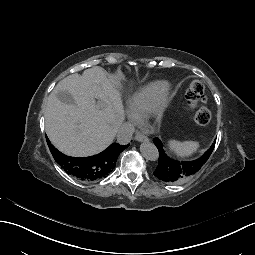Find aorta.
<instances>
[{
    "label": "aorta",
    "mask_w": 255,
    "mask_h": 255,
    "mask_svg": "<svg viewBox=\"0 0 255 255\" xmlns=\"http://www.w3.org/2000/svg\"><path fill=\"white\" fill-rule=\"evenodd\" d=\"M142 156L150 161H156L159 157L157 147L151 142H143L140 146Z\"/></svg>",
    "instance_id": "1"
}]
</instances>
